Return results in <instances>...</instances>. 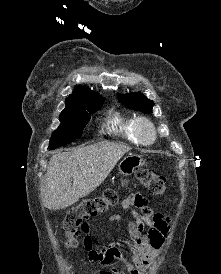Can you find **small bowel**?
Wrapping results in <instances>:
<instances>
[{
    "mask_svg": "<svg viewBox=\"0 0 221 274\" xmlns=\"http://www.w3.org/2000/svg\"><path fill=\"white\" fill-rule=\"evenodd\" d=\"M121 207L130 211L127 238L96 248L91 236L89 224L84 221L81 225L83 233V246L88 259L92 263L109 266L118 261L129 274H142L148 271L151 260L157 257L165 245L170 233L169 218L155 212L148 200L141 194H131L121 201ZM120 217L114 215L112 219ZM145 228H148L145 231ZM123 251L127 252L132 261H128ZM96 274H124L116 267H109L96 272Z\"/></svg>",
    "mask_w": 221,
    "mask_h": 274,
    "instance_id": "obj_1",
    "label": "small bowel"
}]
</instances>
